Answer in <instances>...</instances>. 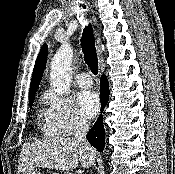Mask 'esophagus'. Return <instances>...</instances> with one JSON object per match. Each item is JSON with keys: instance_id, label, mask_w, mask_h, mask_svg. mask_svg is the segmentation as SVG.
I'll list each match as a JSON object with an SVG mask.
<instances>
[{"instance_id": "esophagus-1", "label": "esophagus", "mask_w": 175, "mask_h": 174, "mask_svg": "<svg viewBox=\"0 0 175 174\" xmlns=\"http://www.w3.org/2000/svg\"><path fill=\"white\" fill-rule=\"evenodd\" d=\"M96 43H97V50H98V53H99V55H101L104 48H103V45H102V43H101V39H100V37H99L98 34H96Z\"/></svg>"}]
</instances>
